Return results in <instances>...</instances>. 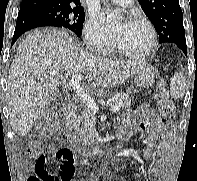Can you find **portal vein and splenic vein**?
<instances>
[{
    "mask_svg": "<svg viewBox=\"0 0 197 181\" xmlns=\"http://www.w3.org/2000/svg\"><path fill=\"white\" fill-rule=\"evenodd\" d=\"M51 75H59L58 71H52ZM82 74H75L69 80L70 85L72 86L73 90L76 92L77 96L83 101V103L87 106L88 109L92 110L93 112H97L99 107L97 106L96 102L93 98H91L80 86L79 82L83 79ZM110 110L114 113L120 110L119 105L112 106Z\"/></svg>",
    "mask_w": 197,
    "mask_h": 181,
    "instance_id": "18ae733b",
    "label": "portal vein and splenic vein"
}]
</instances>
